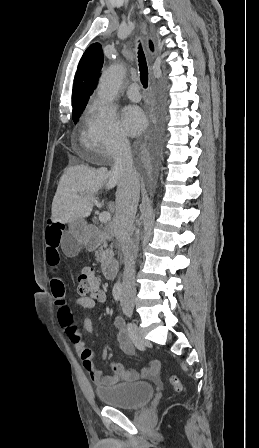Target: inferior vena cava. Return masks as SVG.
Here are the masks:
<instances>
[{"instance_id":"obj_1","label":"inferior vena cava","mask_w":259,"mask_h":448,"mask_svg":"<svg viewBox=\"0 0 259 448\" xmlns=\"http://www.w3.org/2000/svg\"><path fill=\"white\" fill-rule=\"evenodd\" d=\"M114 148V166L111 172L113 176L117 174L119 184L113 228L124 256L122 304L127 306L129 302H134L136 296L134 264L137 250L131 236L138 206L140 184L138 172L133 166L129 140L117 138Z\"/></svg>"}]
</instances>
